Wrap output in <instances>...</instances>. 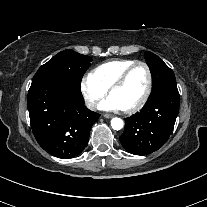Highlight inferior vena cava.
Here are the masks:
<instances>
[{
	"instance_id": "602c4592",
	"label": "inferior vena cava",
	"mask_w": 207,
	"mask_h": 207,
	"mask_svg": "<svg viewBox=\"0 0 207 207\" xmlns=\"http://www.w3.org/2000/svg\"><path fill=\"white\" fill-rule=\"evenodd\" d=\"M97 105H98V102L97 101H87L86 102V106H87V108L88 109H90V110H95L96 109V107H97Z\"/></svg>"
}]
</instances>
